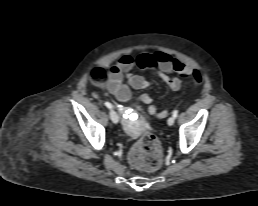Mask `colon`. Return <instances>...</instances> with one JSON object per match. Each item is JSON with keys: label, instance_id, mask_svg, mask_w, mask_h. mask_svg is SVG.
<instances>
[{"label": "colon", "instance_id": "1", "mask_svg": "<svg viewBox=\"0 0 258 206\" xmlns=\"http://www.w3.org/2000/svg\"><path fill=\"white\" fill-rule=\"evenodd\" d=\"M91 77L94 81L101 82L105 79L106 73L101 68L92 71ZM130 163L137 169L153 171L162 163V147L151 133L142 135L132 146L129 153Z\"/></svg>", "mask_w": 258, "mask_h": 206}]
</instances>
